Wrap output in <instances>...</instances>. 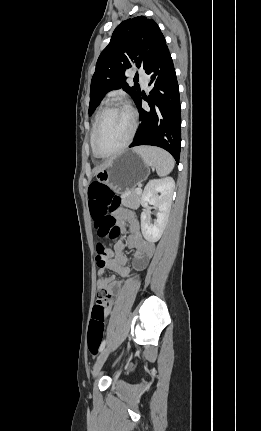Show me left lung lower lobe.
I'll use <instances>...</instances> for the list:
<instances>
[{
    "label": "left lung lower lobe",
    "mask_w": 261,
    "mask_h": 431,
    "mask_svg": "<svg viewBox=\"0 0 261 431\" xmlns=\"http://www.w3.org/2000/svg\"><path fill=\"white\" fill-rule=\"evenodd\" d=\"M145 72L150 76V95L138 96L135 103L140 114V124L130 147L158 146L167 150L179 163L181 144V109L179 88L171 55L165 45L152 60ZM144 99L149 104L141 106Z\"/></svg>",
    "instance_id": "1"
}]
</instances>
